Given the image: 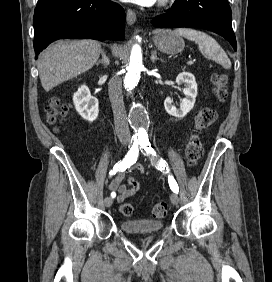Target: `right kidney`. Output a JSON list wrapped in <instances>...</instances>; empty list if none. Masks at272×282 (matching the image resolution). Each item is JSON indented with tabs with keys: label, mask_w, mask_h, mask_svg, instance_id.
Instances as JSON below:
<instances>
[{
	"label": "right kidney",
	"mask_w": 272,
	"mask_h": 282,
	"mask_svg": "<svg viewBox=\"0 0 272 282\" xmlns=\"http://www.w3.org/2000/svg\"><path fill=\"white\" fill-rule=\"evenodd\" d=\"M73 102L76 111L79 115L93 122L97 119L99 113V102L96 97L91 96V93L86 85H81L73 95Z\"/></svg>",
	"instance_id": "ca27d5eb"
}]
</instances>
